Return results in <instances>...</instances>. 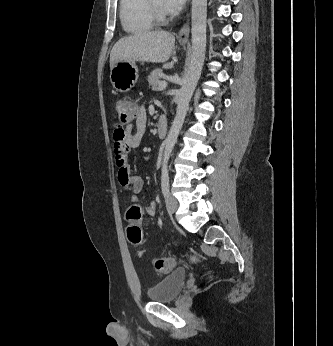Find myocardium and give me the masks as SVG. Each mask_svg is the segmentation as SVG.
Here are the masks:
<instances>
[{
  "instance_id": "1",
  "label": "myocardium",
  "mask_w": 333,
  "mask_h": 346,
  "mask_svg": "<svg viewBox=\"0 0 333 346\" xmlns=\"http://www.w3.org/2000/svg\"><path fill=\"white\" fill-rule=\"evenodd\" d=\"M148 3L154 21L158 24H165L169 20L168 15L158 8L154 0H148Z\"/></svg>"
}]
</instances>
